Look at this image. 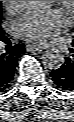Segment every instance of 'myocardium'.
I'll use <instances>...</instances> for the list:
<instances>
[{"mask_svg":"<svg viewBox=\"0 0 74 122\" xmlns=\"http://www.w3.org/2000/svg\"><path fill=\"white\" fill-rule=\"evenodd\" d=\"M58 4L63 7L66 11H68L69 13L72 12L73 8H74V1H57Z\"/></svg>","mask_w":74,"mask_h":122,"instance_id":"obj_1","label":"myocardium"}]
</instances>
